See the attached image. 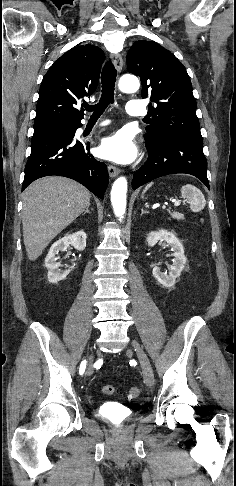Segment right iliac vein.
<instances>
[{
    "label": "right iliac vein",
    "mask_w": 236,
    "mask_h": 486,
    "mask_svg": "<svg viewBox=\"0 0 236 486\" xmlns=\"http://www.w3.org/2000/svg\"><path fill=\"white\" fill-rule=\"evenodd\" d=\"M92 372H93V368H92V364H90L89 367H88V373L91 374Z\"/></svg>",
    "instance_id": "obj_1"
}]
</instances>
